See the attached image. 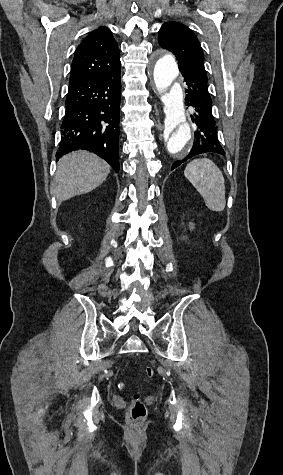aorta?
Instances as JSON below:
<instances>
[{"label":"aorta","mask_w":283,"mask_h":475,"mask_svg":"<svg viewBox=\"0 0 283 475\" xmlns=\"http://www.w3.org/2000/svg\"><path fill=\"white\" fill-rule=\"evenodd\" d=\"M178 65L172 55L160 57L154 64L153 76L164 103L165 120L160 138L164 156L183 158L193 144L192 128L183 103V91L177 82Z\"/></svg>","instance_id":"obj_1"}]
</instances>
